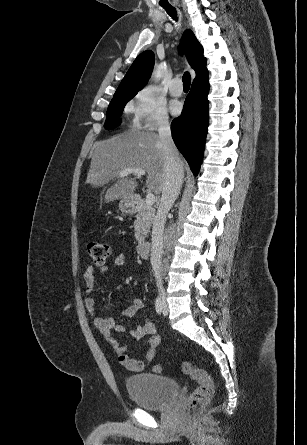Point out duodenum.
I'll return each instance as SVG.
<instances>
[{"mask_svg":"<svg viewBox=\"0 0 307 445\" xmlns=\"http://www.w3.org/2000/svg\"><path fill=\"white\" fill-rule=\"evenodd\" d=\"M141 203V197L140 196H134L131 199V205L132 207H136ZM150 251V243L149 242H141L137 247V252L141 257H147Z\"/></svg>","mask_w":307,"mask_h":445,"instance_id":"410a0bca","label":"duodenum"}]
</instances>
